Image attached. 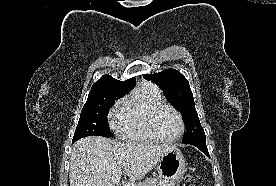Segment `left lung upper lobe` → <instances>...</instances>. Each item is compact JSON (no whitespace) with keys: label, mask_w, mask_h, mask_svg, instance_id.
<instances>
[{"label":"left lung upper lobe","mask_w":276,"mask_h":186,"mask_svg":"<svg viewBox=\"0 0 276 186\" xmlns=\"http://www.w3.org/2000/svg\"><path fill=\"white\" fill-rule=\"evenodd\" d=\"M144 78L157 84L169 102L183 115L186 134L183 142L206 141L195 109L194 98L187 79L175 69H166L155 74H146Z\"/></svg>","instance_id":"1"}]
</instances>
